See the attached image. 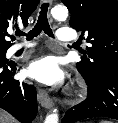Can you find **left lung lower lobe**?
<instances>
[{"label": "left lung lower lobe", "mask_w": 118, "mask_h": 123, "mask_svg": "<svg viewBox=\"0 0 118 123\" xmlns=\"http://www.w3.org/2000/svg\"><path fill=\"white\" fill-rule=\"evenodd\" d=\"M88 85V97L69 109L62 123H74L93 117L118 120V67H108L95 78H89L78 70Z\"/></svg>", "instance_id": "left-lung-lower-lobe-1"}]
</instances>
